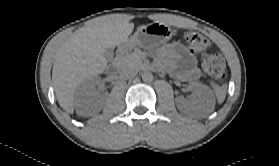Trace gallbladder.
Instances as JSON below:
<instances>
[{
  "instance_id": "gallbladder-1",
  "label": "gallbladder",
  "mask_w": 279,
  "mask_h": 166,
  "mask_svg": "<svg viewBox=\"0 0 279 166\" xmlns=\"http://www.w3.org/2000/svg\"><path fill=\"white\" fill-rule=\"evenodd\" d=\"M103 56L105 57V59L108 62H111L113 60V57H114L113 48L110 47V48L105 49V51L103 52Z\"/></svg>"
}]
</instances>
